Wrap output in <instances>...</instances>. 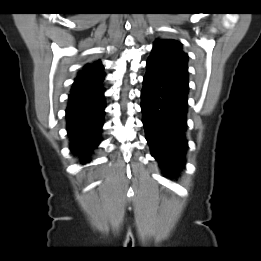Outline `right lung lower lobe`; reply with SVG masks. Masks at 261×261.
<instances>
[{
	"label": "right lung lower lobe",
	"mask_w": 261,
	"mask_h": 261,
	"mask_svg": "<svg viewBox=\"0 0 261 261\" xmlns=\"http://www.w3.org/2000/svg\"><path fill=\"white\" fill-rule=\"evenodd\" d=\"M102 84L88 90L71 91L66 109L70 151L85 164L100 143L106 107Z\"/></svg>",
	"instance_id": "obj_1"
}]
</instances>
